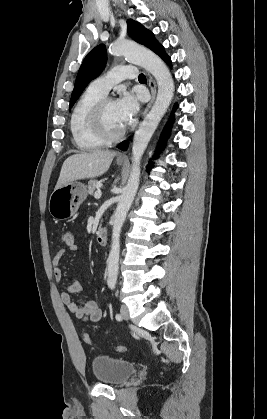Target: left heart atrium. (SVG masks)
Listing matches in <instances>:
<instances>
[{
	"mask_svg": "<svg viewBox=\"0 0 267 419\" xmlns=\"http://www.w3.org/2000/svg\"><path fill=\"white\" fill-rule=\"evenodd\" d=\"M116 104L122 122L125 125L129 124L139 110V101L137 96L131 92H124L116 101Z\"/></svg>",
	"mask_w": 267,
	"mask_h": 419,
	"instance_id": "left-heart-atrium-1",
	"label": "left heart atrium"
}]
</instances>
